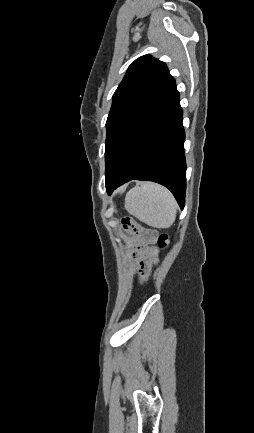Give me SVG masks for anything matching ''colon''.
Wrapping results in <instances>:
<instances>
[{"instance_id":"obj_1","label":"colon","mask_w":254,"mask_h":433,"mask_svg":"<svg viewBox=\"0 0 254 433\" xmlns=\"http://www.w3.org/2000/svg\"><path fill=\"white\" fill-rule=\"evenodd\" d=\"M122 227L129 232H136L139 229L138 223L131 217H125L122 219ZM149 234V233H147ZM168 235L162 234L159 236L160 247H166L168 244Z\"/></svg>"}]
</instances>
